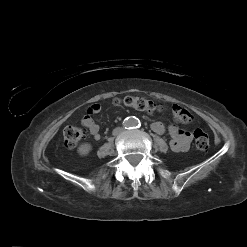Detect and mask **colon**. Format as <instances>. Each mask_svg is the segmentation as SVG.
I'll return each mask as SVG.
<instances>
[{
    "instance_id": "1",
    "label": "colon",
    "mask_w": 247,
    "mask_h": 247,
    "mask_svg": "<svg viewBox=\"0 0 247 247\" xmlns=\"http://www.w3.org/2000/svg\"><path fill=\"white\" fill-rule=\"evenodd\" d=\"M114 103L131 107L148 114H154L161 110L159 104L144 97L126 96L123 99H116ZM172 115L176 121L183 124H188L193 120V116L189 110L180 105H174L172 107ZM193 136L196 148L206 150L209 147V136L205 131L196 129ZM63 137L65 146L67 148H74L83 138V132L77 127L68 126L63 131Z\"/></svg>"
}]
</instances>
